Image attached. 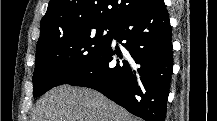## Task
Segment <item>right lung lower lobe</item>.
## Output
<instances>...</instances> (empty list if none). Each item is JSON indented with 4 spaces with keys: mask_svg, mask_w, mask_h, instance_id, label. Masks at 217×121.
Returning <instances> with one entry per match:
<instances>
[{
    "mask_svg": "<svg viewBox=\"0 0 217 121\" xmlns=\"http://www.w3.org/2000/svg\"><path fill=\"white\" fill-rule=\"evenodd\" d=\"M122 43V49L112 40ZM110 44L67 84L90 87L146 121H164L173 69L172 31L163 0H148L121 20Z\"/></svg>",
    "mask_w": 217,
    "mask_h": 121,
    "instance_id": "right-lung-lower-lobe-1",
    "label": "right lung lower lobe"
}]
</instances>
